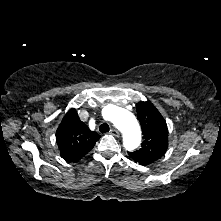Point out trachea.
Masks as SVG:
<instances>
[{
    "instance_id": "1",
    "label": "trachea",
    "mask_w": 221,
    "mask_h": 221,
    "mask_svg": "<svg viewBox=\"0 0 221 221\" xmlns=\"http://www.w3.org/2000/svg\"><path fill=\"white\" fill-rule=\"evenodd\" d=\"M109 125L108 124H106V123H103V124H101L100 126H99V131L101 132V133H107V132H109Z\"/></svg>"
}]
</instances>
